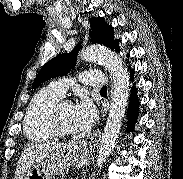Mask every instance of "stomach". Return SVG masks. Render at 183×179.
<instances>
[{"instance_id":"1","label":"stomach","mask_w":183,"mask_h":179,"mask_svg":"<svg viewBox=\"0 0 183 179\" xmlns=\"http://www.w3.org/2000/svg\"><path fill=\"white\" fill-rule=\"evenodd\" d=\"M91 156L87 147L76 143L64 144L50 155L35 164L23 179H52L53 176L64 172L69 167H85Z\"/></svg>"}]
</instances>
